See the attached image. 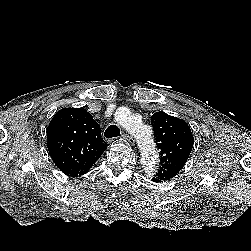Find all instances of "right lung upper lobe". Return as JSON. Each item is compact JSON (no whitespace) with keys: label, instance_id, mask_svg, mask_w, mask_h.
<instances>
[{"label":"right lung upper lobe","instance_id":"1","mask_svg":"<svg viewBox=\"0 0 251 251\" xmlns=\"http://www.w3.org/2000/svg\"><path fill=\"white\" fill-rule=\"evenodd\" d=\"M47 140L55 165L72 177L86 174L108 146L100 126L83 108L59 110L49 123Z\"/></svg>","mask_w":251,"mask_h":251}]
</instances>
